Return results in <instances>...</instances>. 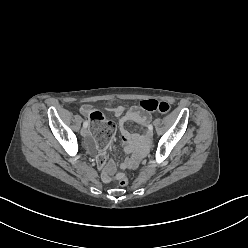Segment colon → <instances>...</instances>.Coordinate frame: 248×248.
Masks as SVG:
<instances>
[{"label":"colon","mask_w":248,"mask_h":248,"mask_svg":"<svg viewBox=\"0 0 248 248\" xmlns=\"http://www.w3.org/2000/svg\"><path fill=\"white\" fill-rule=\"evenodd\" d=\"M139 107L146 112H158L162 114L169 113L171 109L169 103L155 99L143 100L140 102ZM90 119L93 122L92 137L95 139L94 145L97 149L104 150L109 145V139L115 134L116 126L112 121L107 120L100 111L92 112ZM96 159L93 167L96 171L101 172L105 169V163L108 161L109 156L106 152L101 151L97 154ZM117 181L122 187H126L129 183L128 177L123 174L117 177Z\"/></svg>","instance_id":"5ec220e1"}]
</instances>
